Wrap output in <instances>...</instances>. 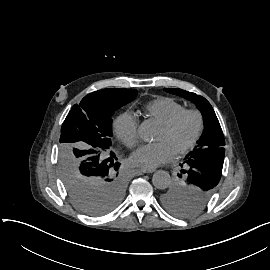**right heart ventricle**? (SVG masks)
<instances>
[{"instance_id":"right-heart-ventricle-1","label":"right heart ventricle","mask_w":270,"mask_h":270,"mask_svg":"<svg viewBox=\"0 0 270 270\" xmlns=\"http://www.w3.org/2000/svg\"><path fill=\"white\" fill-rule=\"evenodd\" d=\"M184 109L183 104L168 97H158L145 106L147 116L159 120L161 124L166 123Z\"/></svg>"}]
</instances>
